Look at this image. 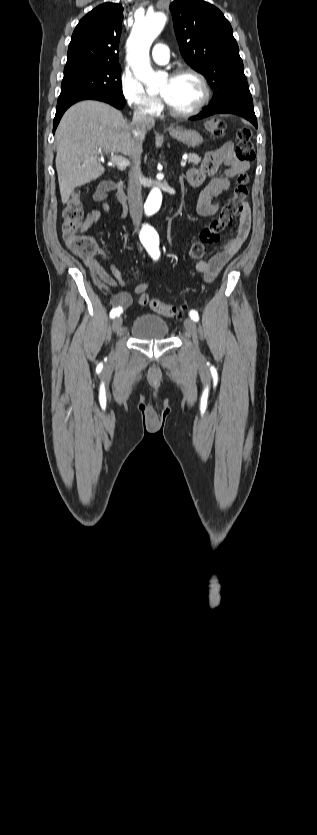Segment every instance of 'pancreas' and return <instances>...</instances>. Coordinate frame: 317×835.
Returning <instances> with one entry per match:
<instances>
[{
	"mask_svg": "<svg viewBox=\"0 0 317 835\" xmlns=\"http://www.w3.org/2000/svg\"><path fill=\"white\" fill-rule=\"evenodd\" d=\"M188 160L191 164H198L201 161V157H199V155L197 154L190 153L188 155Z\"/></svg>",
	"mask_w": 317,
	"mask_h": 835,
	"instance_id": "pancreas-1",
	"label": "pancreas"
}]
</instances>
